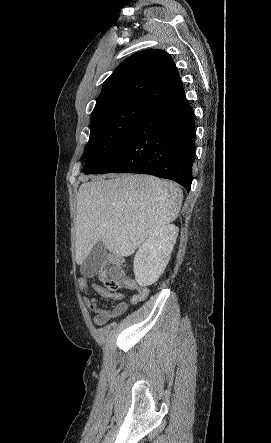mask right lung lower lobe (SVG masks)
I'll list each match as a JSON object with an SVG mask.
<instances>
[{
    "mask_svg": "<svg viewBox=\"0 0 271 443\" xmlns=\"http://www.w3.org/2000/svg\"><path fill=\"white\" fill-rule=\"evenodd\" d=\"M194 159V111L182 93L153 103L92 174H150L174 180L189 191Z\"/></svg>",
    "mask_w": 271,
    "mask_h": 443,
    "instance_id": "right-lung-lower-lobe-1",
    "label": "right lung lower lobe"
}]
</instances>
